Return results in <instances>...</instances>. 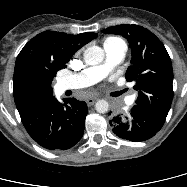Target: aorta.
<instances>
[{
    "instance_id": "1",
    "label": "aorta",
    "mask_w": 187,
    "mask_h": 187,
    "mask_svg": "<svg viewBox=\"0 0 187 187\" xmlns=\"http://www.w3.org/2000/svg\"><path fill=\"white\" fill-rule=\"evenodd\" d=\"M83 57L86 64L98 65L104 60V51L98 46H91L84 51ZM95 109L98 113L104 114L109 110V103L106 100H98Z\"/></svg>"
}]
</instances>
